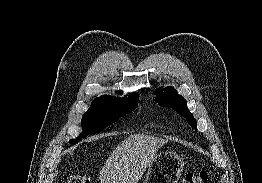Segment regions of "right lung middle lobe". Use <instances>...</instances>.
I'll use <instances>...</instances> for the list:
<instances>
[{
	"label": "right lung middle lobe",
	"instance_id": "right-lung-middle-lobe-1",
	"mask_svg": "<svg viewBox=\"0 0 262 183\" xmlns=\"http://www.w3.org/2000/svg\"><path fill=\"white\" fill-rule=\"evenodd\" d=\"M138 106L137 100L115 104L93 101L89 110L84 113L81 124L83 132L69 143L75 144L79 139L103 131L108 125L116 122L120 117L131 113Z\"/></svg>",
	"mask_w": 262,
	"mask_h": 183
}]
</instances>
